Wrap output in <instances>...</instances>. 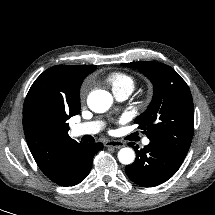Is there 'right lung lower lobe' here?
Segmentation results:
<instances>
[{"label":"right lung lower lobe","mask_w":215,"mask_h":215,"mask_svg":"<svg viewBox=\"0 0 215 215\" xmlns=\"http://www.w3.org/2000/svg\"><path fill=\"white\" fill-rule=\"evenodd\" d=\"M101 143H78L67 155L65 172L59 181L61 186H74L83 181L90 172L93 156L102 149Z\"/></svg>","instance_id":"right-lung-lower-lobe-1"}]
</instances>
